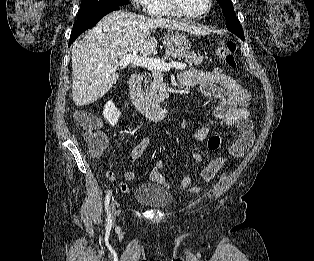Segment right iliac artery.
I'll return each mask as SVG.
<instances>
[{"instance_id":"right-iliac-artery-1","label":"right iliac artery","mask_w":314,"mask_h":261,"mask_svg":"<svg viewBox=\"0 0 314 261\" xmlns=\"http://www.w3.org/2000/svg\"><path fill=\"white\" fill-rule=\"evenodd\" d=\"M111 193H112L111 191H108L105 197V209L107 211V228H110L112 224L111 215L109 213V202H110Z\"/></svg>"}]
</instances>
